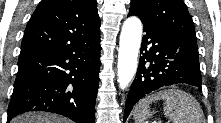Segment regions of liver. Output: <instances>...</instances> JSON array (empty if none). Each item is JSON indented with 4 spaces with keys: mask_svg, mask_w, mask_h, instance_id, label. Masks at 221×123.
<instances>
[{
    "mask_svg": "<svg viewBox=\"0 0 221 123\" xmlns=\"http://www.w3.org/2000/svg\"><path fill=\"white\" fill-rule=\"evenodd\" d=\"M11 123H69V121L54 114L31 112L17 116Z\"/></svg>",
    "mask_w": 221,
    "mask_h": 123,
    "instance_id": "6515ba94",
    "label": "liver"
}]
</instances>
